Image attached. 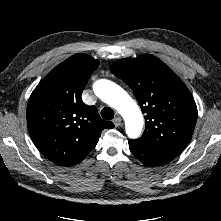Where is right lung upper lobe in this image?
<instances>
[{"mask_svg":"<svg viewBox=\"0 0 221 221\" xmlns=\"http://www.w3.org/2000/svg\"><path fill=\"white\" fill-rule=\"evenodd\" d=\"M99 61L75 54L56 66L34 89L27 105L28 131L48 160L64 166L80 163L96 146L103 129L114 124L100 118L81 94Z\"/></svg>","mask_w":221,"mask_h":221,"instance_id":"1","label":"right lung upper lobe"}]
</instances>
